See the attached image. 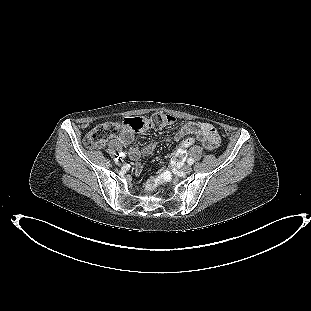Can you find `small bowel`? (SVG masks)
Returning <instances> with one entry per match:
<instances>
[{"label": "small bowel", "mask_w": 311, "mask_h": 311, "mask_svg": "<svg viewBox=\"0 0 311 311\" xmlns=\"http://www.w3.org/2000/svg\"><path fill=\"white\" fill-rule=\"evenodd\" d=\"M188 136H197L208 150H214L219 146L220 138L215 127L207 122H187L175 133V140L183 141ZM121 142L129 147L128 153L133 161H137L142 155H150L157 146V142L148 143L142 150L133 145L134 135L131 131L124 130L120 136ZM185 157V151L181 148L176 154L175 158L182 160ZM135 173H141V167L135 166Z\"/></svg>", "instance_id": "1"}]
</instances>
